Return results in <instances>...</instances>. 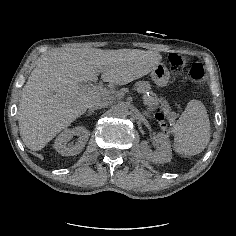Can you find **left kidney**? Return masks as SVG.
<instances>
[{
    "label": "left kidney",
    "mask_w": 236,
    "mask_h": 236,
    "mask_svg": "<svg viewBox=\"0 0 236 236\" xmlns=\"http://www.w3.org/2000/svg\"><path fill=\"white\" fill-rule=\"evenodd\" d=\"M158 148L152 151L147 143L144 141L140 144V150L143 157L149 162H155L159 164L167 163L172 158L170 143L166 136L162 133L157 134Z\"/></svg>",
    "instance_id": "left-kidney-1"
}]
</instances>
